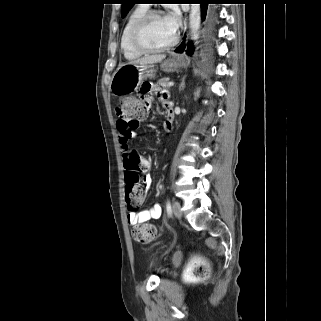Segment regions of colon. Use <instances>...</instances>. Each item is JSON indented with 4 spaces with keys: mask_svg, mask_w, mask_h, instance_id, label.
I'll return each mask as SVG.
<instances>
[{
    "mask_svg": "<svg viewBox=\"0 0 321 321\" xmlns=\"http://www.w3.org/2000/svg\"><path fill=\"white\" fill-rule=\"evenodd\" d=\"M149 113V105L143 98L125 97L120 100L117 108L119 119L130 126L138 127ZM149 167L148 161L137 153L132 154L125 165V194L127 208L130 212L139 209L143 198V185L140 174ZM133 236L140 243H149L157 236L155 226L151 224H143L133 229ZM210 274L208 263L203 259L195 261L191 268V275L197 279H206Z\"/></svg>",
    "mask_w": 321,
    "mask_h": 321,
    "instance_id": "1",
    "label": "colon"
}]
</instances>
